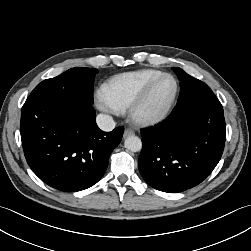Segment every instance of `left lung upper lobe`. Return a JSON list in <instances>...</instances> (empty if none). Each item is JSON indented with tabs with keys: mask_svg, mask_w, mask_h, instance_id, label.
Here are the masks:
<instances>
[{
	"mask_svg": "<svg viewBox=\"0 0 251 251\" xmlns=\"http://www.w3.org/2000/svg\"><path fill=\"white\" fill-rule=\"evenodd\" d=\"M172 69L180 80V93L186 91L187 89H190L195 84H204L200 80L188 75L180 68L173 67Z\"/></svg>",
	"mask_w": 251,
	"mask_h": 251,
	"instance_id": "1",
	"label": "left lung upper lobe"
}]
</instances>
